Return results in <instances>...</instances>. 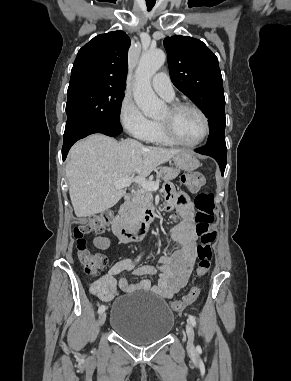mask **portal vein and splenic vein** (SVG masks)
I'll list each match as a JSON object with an SVG mask.
<instances>
[{
	"instance_id": "obj_1",
	"label": "portal vein and splenic vein",
	"mask_w": 291,
	"mask_h": 381,
	"mask_svg": "<svg viewBox=\"0 0 291 381\" xmlns=\"http://www.w3.org/2000/svg\"><path fill=\"white\" fill-rule=\"evenodd\" d=\"M132 183H137L140 186H142V188L150 191H157L159 188V180H157L156 182L148 181L143 177H134V174L130 177H125L120 180L114 181L113 185L119 189L129 187Z\"/></svg>"
}]
</instances>
